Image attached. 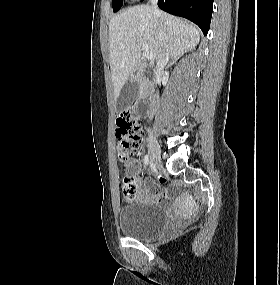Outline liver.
<instances>
[{"mask_svg": "<svg viewBox=\"0 0 280 285\" xmlns=\"http://www.w3.org/2000/svg\"><path fill=\"white\" fill-rule=\"evenodd\" d=\"M199 40L198 28L168 13H157L149 5L130 7L114 16L109 23V52L115 100L137 68L143 44L154 54L152 67L162 50L169 51L171 60L176 61Z\"/></svg>", "mask_w": 280, "mask_h": 285, "instance_id": "1", "label": "liver"}]
</instances>
